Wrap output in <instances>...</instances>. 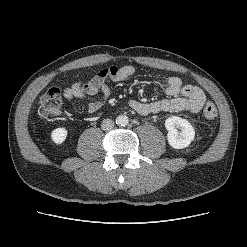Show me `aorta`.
<instances>
[{
    "mask_svg": "<svg viewBox=\"0 0 247 247\" xmlns=\"http://www.w3.org/2000/svg\"><path fill=\"white\" fill-rule=\"evenodd\" d=\"M128 122H129V119L125 115H119L116 118V124L119 126H126L128 124Z\"/></svg>",
    "mask_w": 247,
    "mask_h": 247,
    "instance_id": "1",
    "label": "aorta"
}]
</instances>
